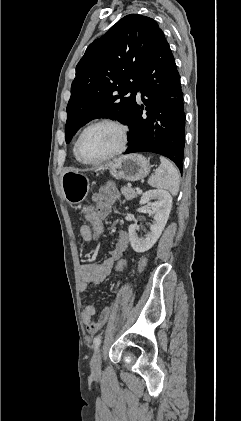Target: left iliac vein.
<instances>
[{
	"instance_id": "1",
	"label": "left iliac vein",
	"mask_w": 241,
	"mask_h": 421,
	"mask_svg": "<svg viewBox=\"0 0 241 421\" xmlns=\"http://www.w3.org/2000/svg\"><path fill=\"white\" fill-rule=\"evenodd\" d=\"M101 368V351L98 349L95 351L91 359V369L94 373H98Z\"/></svg>"
}]
</instances>
